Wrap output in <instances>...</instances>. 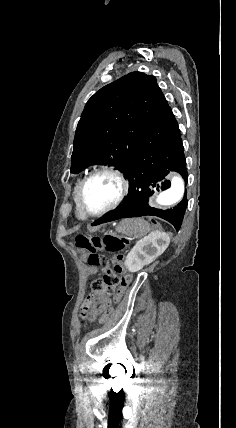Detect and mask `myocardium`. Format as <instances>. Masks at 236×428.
<instances>
[{
	"instance_id": "f54148a6",
	"label": "myocardium",
	"mask_w": 236,
	"mask_h": 428,
	"mask_svg": "<svg viewBox=\"0 0 236 428\" xmlns=\"http://www.w3.org/2000/svg\"><path fill=\"white\" fill-rule=\"evenodd\" d=\"M99 175H110V176H113L114 178H116L118 180V182L120 183V193H119L118 197L116 198V200L112 204L105 207L104 209H101L98 211H93L87 206V204L85 202L84 190H85L87 183L91 179H93ZM129 191H130V182L128 181L125 173L120 168H117V167L112 166V165H102V166L92 170L89 174H87L81 180L80 185H79V189H78L79 204L81 206V209L83 210V212L86 215H88V216H102L108 212H111V211L117 209L121 205V203L124 201V199L126 198V196L129 193Z\"/></svg>"
}]
</instances>
